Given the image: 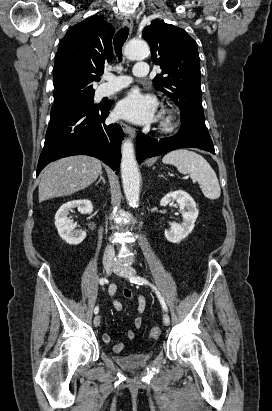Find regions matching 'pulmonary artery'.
Segmentation results:
<instances>
[{
    "mask_svg": "<svg viewBox=\"0 0 272 411\" xmlns=\"http://www.w3.org/2000/svg\"><path fill=\"white\" fill-rule=\"evenodd\" d=\"M149 73L148 65L146 63H137L134 69L136 77H147ZM105 79L108 83L101 85L98 89L100 97L111 95L124 87H127L131 82V78L126 75L115 76L113 74H106Z\"/></svg>",
    "mask_w": 272,
    "mask_h": 411,
    "instance_id": "e3ab8cb5",
    "label": "pulmonary artery"
}]
</instances>
